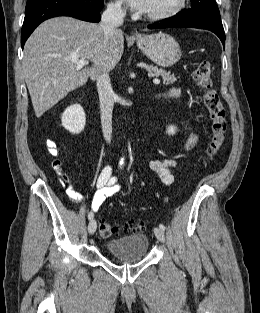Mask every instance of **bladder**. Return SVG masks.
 Instances as JSON below:
<instances>
[{"mask_svg": "<svg viewBox=\"0 0 260 313\" xmlns=\"http://www.w3.org/2000/svg\"><path fill=\"white\" fill-rule=\"evenodd\" d=\"M149 238L138 233L110 240L106 244L107 252L124 263H135L148 254Z\"/></svg>", "mask_w": 260, "mask_h": 313, "instance_id": "bladder-1", "label": "bladder"}]
</instances>
